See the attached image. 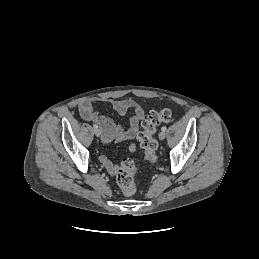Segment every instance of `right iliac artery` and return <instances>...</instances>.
Segmentation results:
<instances>
[{"label":"right iliac artery","instance_id":"right-iliac-artery-1","mask_svg":"<svg viewBox=\"0 0 259 259\" xmlns=\"http://www.w3.org/2000/svg\"><path fill=\"white\" fill-rule=\"evenodd\" d=\"M93 128H94V129H97L98 126H97L96 124H93Z\"/></svg>","mask_w":259,"mask_h":259}]
</instances>
